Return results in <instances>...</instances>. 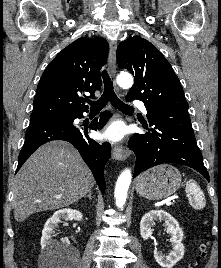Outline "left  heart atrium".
Returning <instances> with one entry per match:
<instances>
[{"instance_id":"obj_1","label":"left heart atrium","mask_w":221,"mask_h":268,"mask_svg":"<svg viewBox=\"0 0 221 268\" xmlns=\"http://www.w3.org/2000/svg\"><path fill=\"white\" fill-rule=\"evenodd\" d=\"M123 136L122 126L118 123L110 124L101 134V137L109 141H118Z\"/></svg>"}]
</instances>
